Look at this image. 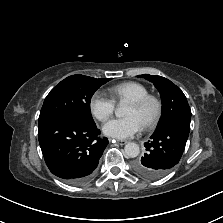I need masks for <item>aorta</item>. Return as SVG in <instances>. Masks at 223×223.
Masks as SVG:
<instances>
[{
	"label": "aorta",
	"mask_w": 223,
	"mask_h": 223,
	"mask_svg": "<svg viewBox=\"0 0 223 223\" xmlns=\"http://www.w3.org/2000/svg\"><path fill=\"white\" fill-rule=\"evenodd\" d=\"M116 116L122 117L124 115V107L122 105L118 106V108L115 111ZM124 153L129 158H135L140 153V148L138 144L134 142H129L124 147Z\"/></svg>",
	"instance_id": "aorta-1"
}]
</instances>
